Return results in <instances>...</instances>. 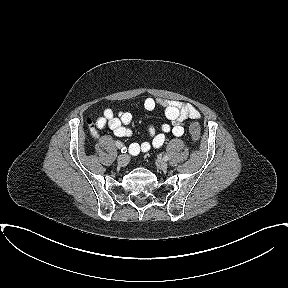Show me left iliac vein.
Masks as SVG:
<instances>
[{
	"label": "left iliac vein",
	"mask_w": 288,
	"mask_h": 288,
	"mask_svg": "<svg viewBox=\"0 0 288 288\" xmlns=\"http://www.w3.org/2000/svg\"><path fill=\"white\" fill-rule=\"evenodd\" d=\"M156 165L161 170H166L168 167V164L165 160H157Z\"/></svg>",
	"instance_id": "1"
}]
</instances>
